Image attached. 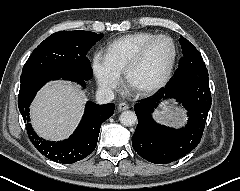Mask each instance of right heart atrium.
Listing matches in <instances>:
<instances>
[{"label":"right heart atrium","instance_id":"1","mask_svg":"<svg viewBox=\"0 0 240 191\" xmlns=\"http://www.w3.org/2000/svg\"><path fill=\"white\" fill-rule=\"evenodd\" d=\"M91 65L97 84L102 90L113 92L118 88L121 82V72L112 64L106 54L96 52Z\"/></svg>","mask_w":240,"mask_h":191}]
</instances>
